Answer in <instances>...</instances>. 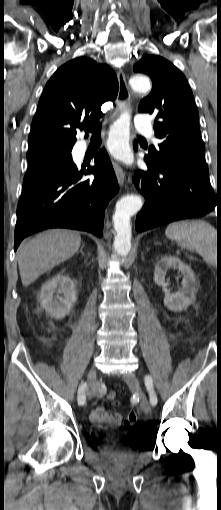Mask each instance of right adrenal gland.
<instances>
[{
    "label": "right adrenal gland",
    "mask_w": 221,
    "mask_h": 510,
    "mask_svg": "<svg viewBox=\"0 0 221 510\" xmlns=\"http://www.w3.org/2000/svg\"><path fill=\"white\" fill-rule=\"evenodd\" d=\"M83 247H84V246H82V247H81V249H80V251H79L82 255H84Z\"/></svg>",
    "instance_id": "1"
}]
</instances>
